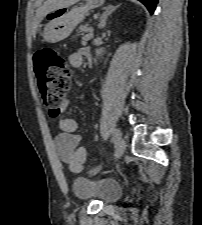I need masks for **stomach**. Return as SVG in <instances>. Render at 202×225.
Instances as JSON below:
<instances>
[{"mask_svg": "<svg viewBox=\"0 0 202 225\" xmlns=\"http://www.w3.org/2000/svg\"><path fill=\"white\" fill-rule=\"evenodd\" d=\"M105 0H86L80 7L71 10L66 8L57 9L46 15L49 19L44 26L42 37L49 43H57L70 36L76 26L81 23L89 10L100 7Z\"/></svg>", "mask_w": 202, "mask_h": 225, "instance_id": "obj_1", "label": "stomach"}]
</instances>
